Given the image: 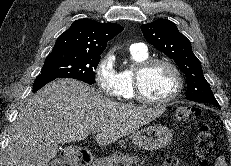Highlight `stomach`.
Segmentation results:
<instances>
[{
	"mask_svg": "<svg viewBox=\"0 0 231 166\" xmlns=\"http://www.w3.org/2000/svg\"><path fill=\"white\" fill-rule=\"evenodd\" d=\"M172 140V132L163 125H152L133 133L134 145L143 150H159Z\"/></svg>",
	"mask_w": 231,
	"mask_h": 166,
	"instance_id": "0dacf381",
	"label": "stomach"
}]
</instances>
